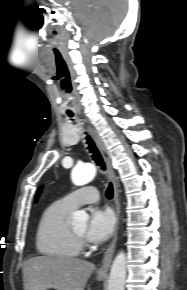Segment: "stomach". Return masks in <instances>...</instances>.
<instances>
[{
    "label": "stomach",
    "mask_w": 187,
    "mask_h": 290,
    "mask_svg": "<svg viewBox=\"0 0 187 290\" xmlns=\"http://www.w3.org/2000/svg\"><path fill=\"white\" fill-rule=\"evenodd\" d=\"M104 278H105V276H100V275H97V277H96V279L99 280V281L103 280Z\"/></svg>",
    "instance_id": "obj_1"
}]
</instances>
